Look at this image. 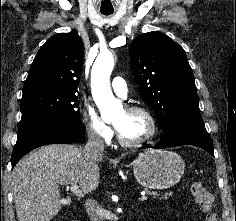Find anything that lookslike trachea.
<instances>
[{
    "label": "trachea",
    "mask_w": 236,
    "mask_h": 221,
    "mask_svg": "<svg viewBox=\"0 0 236 221\" xmlns=\"http://www.w3.org/2000/svg\"><path fill=\"white\" fill-rule=\"evenodd\" d=\"M101 13H102L103 15H106V16L112 14V12H101Z\"/></svg>",
    "instance_id": "trachea-1"
}]
</instances>
